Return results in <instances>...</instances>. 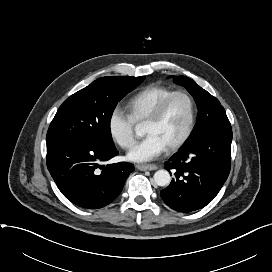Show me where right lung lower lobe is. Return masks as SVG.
<instances>
[{
	"label": "right lung lower lobe",
	"instance_id": "98d812e1",
	"mask_svg": "<svg viewBox=\"0 0 272 272\" xmlns=\"http://www.w3.org/2000/svg\"><path fill=\"white\" fill-rule=\"evenodd\" d=\"M118 155L93 141H72L47 149V168L61 193L79 207L97 209L111 203L122 191L131 163H101Z\"/></svg>",
	"mask_w": 272,
	"mask_h": 272
}]
</instances>
